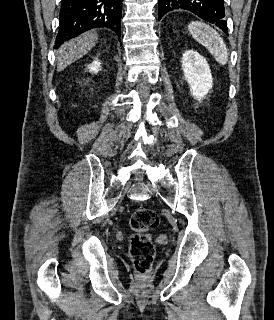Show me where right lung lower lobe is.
<instances>
[{
  "label": "right lung lower lobe",
  "mask_w": 274,
  "mask_h": 320,
  "mask_svg": "<svg viewBox=\"0 0 274 320\" xmlns=\"http://www.w3.org/2000/svg\"><path fill=\"white\" fill-rule=\"evenodd\" d=\"M122 1L62 0L55 48L92 28L108 27L120 37Z\"/></svg>",
  "instance_id": "98d812e1"
}]
</instances>
